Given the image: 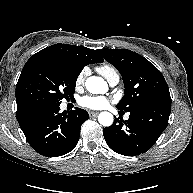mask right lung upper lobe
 <instances>
[{"instance_id": "right-lung-upper-lobe-1", "label": "right lung upper lobe", "mask_w": 193, "mask_h": 193, "mask_svg": "<svg viewBox=\"0 0 193 193\" xmlns=\"http://www.w3.org/2000/svg\"><path fill=\"white\" fill-rule=\"evenodd\" d=\"M97 51L75 45L54 44L31 56L23 67V70L30 64L41 60L67 62L84 68V66L88 64L100 63L104 61ZM32 114V112L25 111L17 102L16 115L18 122L24 120Z\"/></svg>"}]
</instances>
